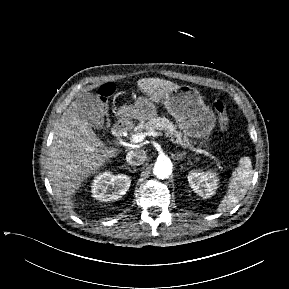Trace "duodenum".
<instances>
[{
	"label": "duodenum",
	"instance_id": "1",
	"mask_svg": "<svg viewBox=\"0 0 289 289\" xmlns=\"http://www.w3.org/2000/svg\"><path fill=\"white\" fill-rule=\"evenodd\" d=\"M130 128V122L125 119H121L117 121L112 129L113 135L117 139H121L129 130Z\"/></svg>",
	"mask_w": 289,
	"mask_h": 289
}]
</instances>
